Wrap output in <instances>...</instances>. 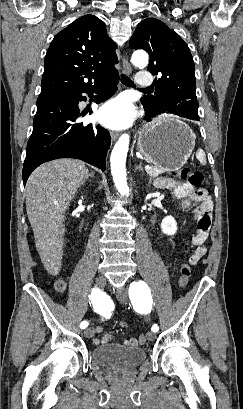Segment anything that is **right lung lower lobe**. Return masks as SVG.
Wrapping results in <instances>:
<instances>
[{
    "instance_id": "1",
    "label": "right lung lower lobe",
    "mask_w": 243,
    "mask_h": 409,
    "mask_svg": "<svg viewBox=\"0 0 243 409\" xmlns=\"http://www.w3.org/2000/svg\"><path fill=\"white\" fill-rule=\"evenodd\" d=\"M118 79L116 74L92 88L38 98L33 132L27 144L23 165L24 184L36 167L58 158H76L103 171L106 169L105 159L110 148V134L101 126L76 122L81 115L78 104L86 100L82 93L89 96L98 93L95 100L98 104L110 98Z\"/></svg>"
}]
</instances>
